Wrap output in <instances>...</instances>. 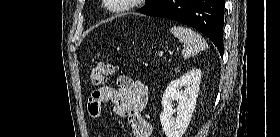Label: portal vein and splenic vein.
Returning <instances> with one entry per match:
<instances>
[{"label":"portal vein and splenic vein","instance_id":"1","mask_svg":"<svg viewBox=\"0 0 280 137\" xmlns=\"http://www.w3.org/2000/svg\"><path fill=\"white\" fill-rule=\"evenodd\" d=\"M169 54H170V55L173 54V51H169Z\"/></svg>","mask_w":280,"mask_h":137}]
</instances>
